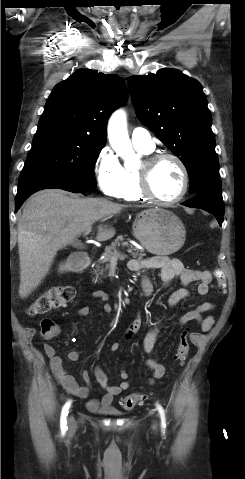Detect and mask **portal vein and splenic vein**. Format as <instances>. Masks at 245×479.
<instances>
[{"label":"portal vein and splenic vein","instance_id":"1","mask_svg":"<svg viewBox=\"0 0 245 479\" xmlns=\"http://www.w3.org/2000/svg\"><path fill=\"white\" fill-rule=\"evenodd\" d=\"M89 232H90V230H88V231L85 233V235H87ZM125 245L127 246L128 243H125ZM129 252H131V250H129ZM121 256H122V254L116 251L115 254H114V256H113V259L116 260V259L120 258Z\"/></svg>","mask_w":245,"mask_h":479}]
</instances>
